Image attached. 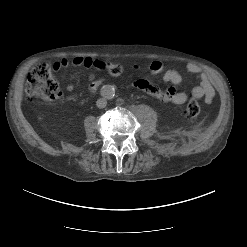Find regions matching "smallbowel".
Segmentation results:
<instances>
[{
    "label": "small bowel",
    "mask_w": 247,
    "mask_h": 247,
    "mask_svg": "<svg viewBox=\"0 0 247 247\" xmlns=\"http://www.w3.org/2000/svg\"><path fill=\"white\" fill-rule=\"evenodd\" d=\"M93 63L94 60L90 57H75L71 61H69L68 59H62L58 62H55L52 65V69L54 71H58L62 68H67L69 65H73L75 67L90 68L93 66ZM149 69L152 73L163 72V80L167 83L172 84L173 86L168 87L166 90H162L144 79L137 80L135 82V86L163 102H170L176 105H180L186 101V93L177 91L174 87L181 84L183 81L182 75L177 70H164V66L159 61L151 62L149 65ZM186 69L190 74L197 76L199 80V84L195 87L194 91L199 94L200 97H204L206 103H211L215 96V90L210 82L208 75L198 65L193 63H189ZM89 80L91 81L89 86L90 90L95 91L97 89V87H95V83L98 80H94L93 75L89 76ZM73 89V85L67 86L68 91H72Z\"/></svg>",
    "instance_id": "c3829d8e"
}]
</instances>
